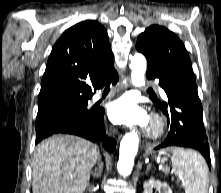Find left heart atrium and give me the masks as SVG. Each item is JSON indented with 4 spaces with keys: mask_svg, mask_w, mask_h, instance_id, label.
I'll use <instances>...</instances> for the list:
<instances>
[{
    "mask_svg": "<svg viewBox=\"0 0 221 193\" xmlns=\"http://www.w3.org/2000/svg\"><path fill=\"white\" fill-rule=\"evenodd\" d=\"M107 114L116 124L146 125L149 120L146 111L130 95L121 96L110 102L107 106Z\"/></svg>",
    "mask_w": 221,
    "mask_h": 193,
    "instance_id": "obj_1",
    "label": "left heart atrium"
}]
</instances>
